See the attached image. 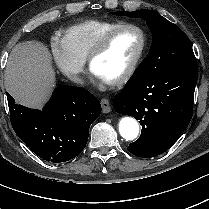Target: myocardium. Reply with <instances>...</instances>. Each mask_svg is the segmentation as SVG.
Here are the masks:
<instances>
[{
  "mask_svg": "<svg viewBox=\"0 0 209 209\" xmlns=\"http://www.w3.org/2000/svg\"><path fill=\"white\" fill-rule=\"evenodd\" d=\"M125 29H134L138 31L141 37V44L130 66L122 75L112 80H103L108 85H112V86L123 85L129 82L134 77L147 48L148 37H147L145 30L142 27L134 23H119L113 26L112 28H110L109 30H107L98 39V41L96 42V44L90 51L89 55L87 56V62H88L89 68L92 70L94 61L104 52V50L109 45L112 37L117 32L121 30H125Z\"/></svg>",
  "mask_w": 209,
  "mask_h": 209,
  "instance_id": "1",
  "label": "myocardium"
}]
</instances>
